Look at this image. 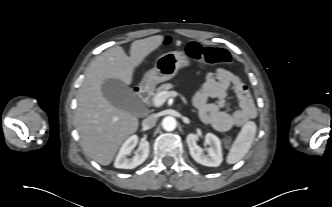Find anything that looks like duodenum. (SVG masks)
Returning <instances> with one entry per match:
<instances>
[{
	"label": "duodenum",
	"instance_id": "410a0bca",
	"mask_svg": "<svg viewBox=\"0 0 332 207\" xmlns=\"http://www.w3.org/2000/svg\"><path fill=\"white\" fill-rule=\"evenodd\" d=\"M137 97L141 100L142 103H147L150 96V89L146 86H141L136 89Z\"/></svg>",
	"mask_w": 332,
	"mask_h": 207
}]
</instances>
